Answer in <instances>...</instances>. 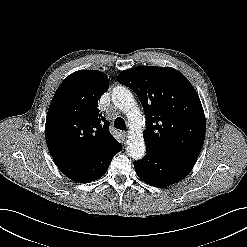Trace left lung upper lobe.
<instances>
[{
  "label": "left lung upper lobe",
  "instance_id": "5c2ea615",
  "mask_svg": "<svg viewBox=\"0 0 247 247\" xmlns=\"http://www.w3.org/2000/svg\"><path fill=\"white\" fill-rule=\"evenodd\" d=\"M119 83L130 87L146 116V148L197 159L205 138L206 120L191 83L171 67L138 66L120 73Z\"/></svg>",
  "mask_w": 247,
  "mask_h": 247
}]
</instances>
